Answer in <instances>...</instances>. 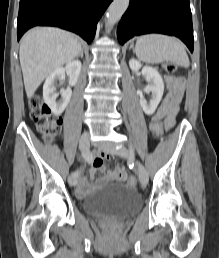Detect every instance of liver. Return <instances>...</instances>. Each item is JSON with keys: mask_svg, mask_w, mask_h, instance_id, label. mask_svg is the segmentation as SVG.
Here are the masks:
<instances>
[{"mask_svg": "<svg viewBox=\"0 0 219 258\" xmlns=\"http://www.w3.org/2000/svg\"><path fill=\"white\" fill-rule=\"evenodd\" d=\"M80 51V42L61 29L36 27L25 33L20 42L19 58L28 99L48 75L71 62Z\"/></svg>", "mask_w": 219, "mask_h": 258, "instance_id": "1", "label": "liver"}]
</instances>
